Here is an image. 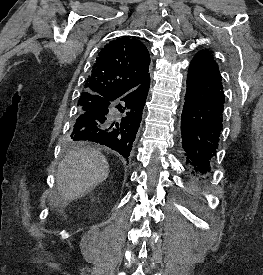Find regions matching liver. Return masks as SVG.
Masks as SVG:
<instances>
[{
	"instance_id": "1",
	"label": "liver",
	"mask_w": 263,
	"mask_h": 275,
	"mask_svg": "<svg viewBox=\"0 0 263 275\" xmlns=\"http://www.w3.org/2000/svg\"><path fill=\"white\" fill-rule=\"evenodd\" d=\"M108 175L109 165L100 151L91 148L70 151L58 166L57 196L52 201L53 206L71 202L91 192Z\"/></svg>"
}]
</instances>
